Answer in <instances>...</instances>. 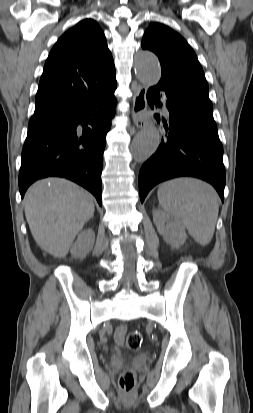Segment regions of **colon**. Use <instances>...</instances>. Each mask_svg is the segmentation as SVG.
Listing matches in <instances>:
<instances>
[{"label":"colon","instance_id":"5ec220e1","mask_svg":"<svg viewBox=\"0 0 253 413\" xmlns=\"http://www.w3.org/2000/svg\"><path fill=\"white\" fill-rule=\"evenodd\" d=\"M142 335L138 331H132L127 335L126 346L136 350L141 346ZM136 377L132 369L126 368L119 378V386L125 395H131L135 388Z\"/></svg>","mask_w":253,"mask_h":413}]
</instances>
